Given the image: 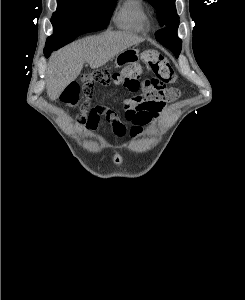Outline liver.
I'll use <instances>...</instances> for the list:
<instances>
[{
	"label": "liver",
	"mask_w": 245,
	"mask_h": 300,
	"mask_svg": "<svg viewBox=\"0 0 245 300\" xmlns=\"http://www.w3.org/2000/svg\"><path fill=\"white\" fill-rule=\"evenodd\" d=\"M139 42L141 39L131 34L107 31L59 50L50 58L47 68L46 89L50 100L59 98L65 88L78 77L85 62L96 69Z\"/></svg>",
	"instance_id": "6515ba94"
}]
</instances>
